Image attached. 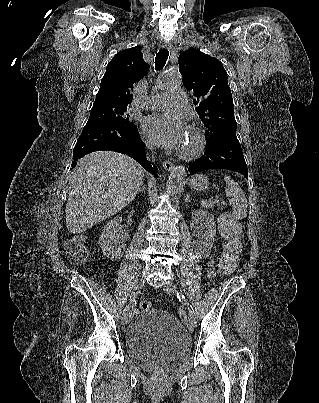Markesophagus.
<instances>
[{"instance_id":"1","label":"esophagus","mask_w":319,"mask_h":403,"mask_svg":"<svg viewBox=\"0 0 319 403\" xmlns=\"http://www.w3.org/2000/svg\"><path fill=\"white\" fill-rule=\"evenodd\" d=\"M162 47L165 48V49L170 50V49L172 48V43H171V42H165V43L162 45ZM163 167H164L166 170L170 171V170H172V169L174 168V164H173L172 162L168 161V160H165V161L163 162Z\"/></svg>"}]
</instances>
